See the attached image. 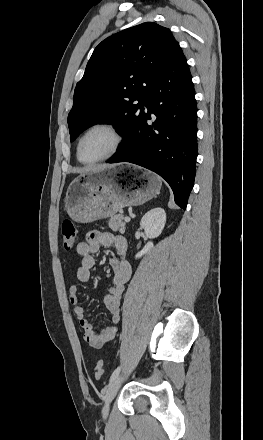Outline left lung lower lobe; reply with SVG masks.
<instances>
[{
	"mask_svg": "<svg viewBox=\"0 0 263 440\" xmlns=\"http://www.w3.org/2000/svg\"><path fill=\"white\" fill-rule=\"evenodd\" d=\"M144 107L130 134L108 163L130 162L164 178L175 203L186 209L194 185L197 157V108L185 56L174 43L152 81ZM151 113L157 119L150 123Z\"/></svg>",
	"mask_w": 263,
	"mask_h": 440,
	"instance_id": "left-lung-lower-lobe-1",
	"label": "left lung lower lobe"
}]
</instances>
